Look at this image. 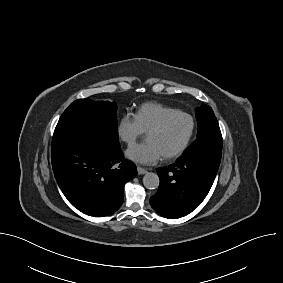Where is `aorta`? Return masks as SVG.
Listing matches in <instances>:
<instances>
[{
	"mask_svg": "<svg viewBox=\"0 0 283 283\" xmlns=\"http://www.w3.org/2000/svg\"><path fill=\"white\" fill-rule=\"evenodd\" d=\"M160 183L159 177L155 173H146L143 177V184L147 189H156Z\"/></svg>",
	"mask_w": 283,
	"mask_h": 283,
	"instance_id": "aorta-1",
	"label": "aorta"
}]
</instances>
